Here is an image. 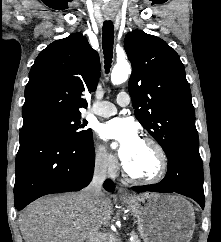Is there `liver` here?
Returning a JSON list of instances; mask_svg holds the SVG:
<instances>
[{
  "label": "liver",
  "instance_id": "liver-1",
  "mask_svg": "<svg viewBox=\"0 0 221 242\" xmlns=\"http://www.w3.org/2000/svg\"><path fill=\"white\" fill-rule=\"evenodd\" d=\"M82 193L42 198L26 207L19 217L25 242H91L100 225L108 223L112 203L103 194L98 205L89 211Z\"/></svg>",
  "mask_w": 221,
  "mask_h": 242
}]
</instances>
